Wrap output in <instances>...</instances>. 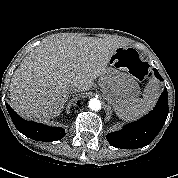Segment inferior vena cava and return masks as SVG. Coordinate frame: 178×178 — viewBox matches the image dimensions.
<instances>
[{
  "label": "inferior vena cava",
  "instance_id": "obj_1",
  "mask_svg": "<svg viewBox=\"0 0 178 178\" xmlns=\"http://www.w3.org/2000/svg\"><path fill=\"white\" fill-rule=\"evenodd\" d=\"M78 89H79V87L74 86L73 89H72V91H73V92H76Z\"/></svg>",
  "mask_w": 178,
  "mask_h": 178
}]
</instances>
